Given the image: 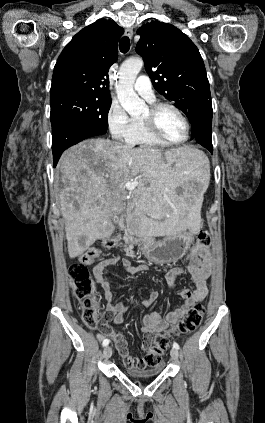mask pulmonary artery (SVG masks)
Segmentation results:
<instances>
[{"instance_id": "pulmonary-artery-1", "label": "pulmonary artery", "mask_w": 265, "mask_h": 423, "mask_svg": "<svg viewBox=\"0 0 265 423\" xmlns=\"http://www.w3.org/2000/svg\"><path fill=\"white\" fill-rule=\"evenodd\" d=\"M134 89L138 95L144 98L148 102H153L155 99L154 91L151 82L148 77L140 76L135 85Z\"/></svg>"}]
</instances>
